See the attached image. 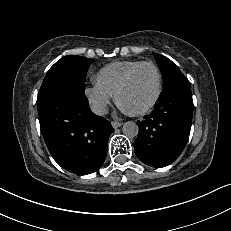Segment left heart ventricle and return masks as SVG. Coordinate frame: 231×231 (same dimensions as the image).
<instances>
[{
  "label": "left heart ventricle",
  "instance_id": "left-heart-ventricle-1",
  "mask_svg": "<svg viewBox=\"0 0 231 231\" xmlns=\"http://www.w3.org/2000/svg\"><path fill=\"white\" fill-rule=\"evenodd\" d=\"M157 88V77L151 67H142L133 77L120 96V105L129 112L147 106L153 99Z\"/></svg>",
  "mask_w": 231,
  "mask_h": 231
}]
</instances>
